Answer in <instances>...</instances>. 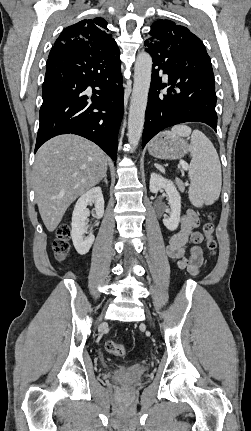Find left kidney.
Returning a JSON list of instances; mask_svg holds the SVG:
<instances>
[{
	"mask_svg": "<svg viewBox=\"0 0 251 431\" xmlns=\"http://www.w3.org/2000/svg\"><path fill=\"white\" fill-rule=\"evenodd\" d=\"M149 189L152 193H157L161 189L166 191L171 212L169 218L163 219V224L170 231L176 230L180 222L181 196L177 191L175 184L171 180H168L159 174L152 173Z\"/></svg>",
	"mask_w": 251,
	"mask_h": 431,
	"instance_id": "left-kidney-1",
	"label": "left kidney"
}]
</instances>
